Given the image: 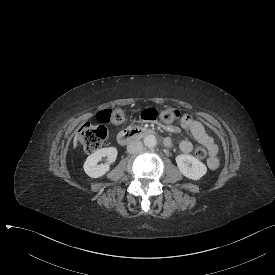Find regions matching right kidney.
<instances>
[{"instance_id": "ca27d5eb", "label": "right kidney", "mask_w": 275, "mask_h": 275, "mask_svg": "<svg viewBox=\"0 0 275 275\" xmlns=\"http://www.w3.org/2000/svg\"><path fill=\"white\" fill-rule=\"evenodd\" d=\"M118 151L114 147L102 148L89 155L83 165L85 173L91 178L104 176L110 170L109 164H98L103 157L107 156L108 161L114 162L117 158Z\"/></svg>"}]
</instances>
